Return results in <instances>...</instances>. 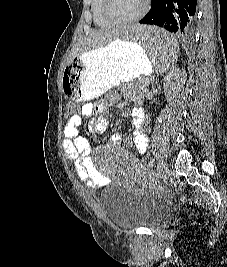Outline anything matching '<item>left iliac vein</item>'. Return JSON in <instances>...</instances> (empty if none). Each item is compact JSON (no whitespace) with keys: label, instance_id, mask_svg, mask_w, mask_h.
Returning a JSON list of instances; mask_svg holds the SVG:
<instances>
[{"label":"left iliac vein","instance_id":"obj_1","mask_svg":"<svg viewBox=\"0 0 227 267\" xmlns=\"http://www.w3.org/2000/svg\"><path fill=\"white\" fill-rule=\"evenodd\" d=\"M158 177L162 180L167 177L169 168L165 160L160 159L157 165Z\"/></svg>","mask_w":227,"mask_h":267}]
</instances>
